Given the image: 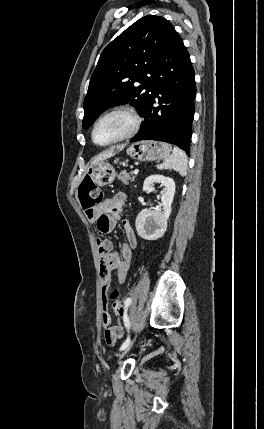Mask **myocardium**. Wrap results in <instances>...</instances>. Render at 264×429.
Instances as JSON below:
<instances>
[{
	"mask_svg": "<svg viewBox=\"0 0 264 429\" xmlns=\"http://www.w3.org/2000/svg\"><path fill=\"white\" fill-rule=\"evenodd\" d=\"M114 115H123L126 116L130 119V127L128 129V131L126 133H124L123 135H121L120 137L107 142V143H99L96 141L95 139V132L96 129L98 127V125L106 118L110 117V116H114ZM141 125V117L140 115L137 113V111L131 107L128 106H120V107H116L113 108L107 112H105L104 114H102L94 123L93 128H92V132H91V137H92V141L98 145V146H110L113 144H117L119 142H122L124 140H127L131 137H133L139 130Z\"/></svg>",
	"mask_w": 264,
	"mask_h": 429,
	"instance_id": "1",
	"label": "myocardium"
}]
</instances>
